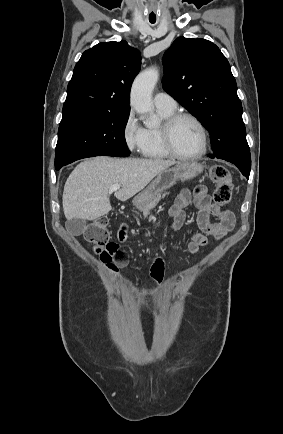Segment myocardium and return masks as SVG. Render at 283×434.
<instances>
[{
  "label": "myocardium",
  "instance_id": "obj_1",
  "mask_svg": "<svg viewBox=\"0 0 283 434\" xmlns=\"http://www.w3.org/2000/svg\"><path fill=\"white\" fill-rule=\"evenodd\" d=\"M181 119H189L191 120L199 129L200 135H201V149L192 155H184L179 153L173 144V139H172V132L174 129V126L176 125V123L178 121H180ZM160 131H161V137H162V142H163V146L165 148V150L167 151V153L174 157L177 158L179 160H185V161H191V160H197L200 159L201 157H203L208 149V133L207 130L204 126V124L201 122V120L195 116L192 113L189 112H174L172 115H170L168 118H166L161 127H160Z\"/></svg>",
  "mask_w": 283,
  "mask_h": 434
}]
</instances>
